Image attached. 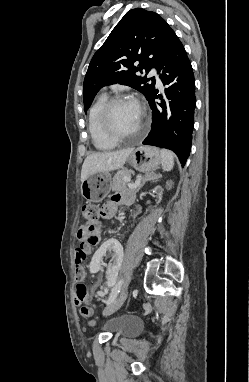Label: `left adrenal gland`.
Masks as SVG:
<instances>
[{
  "instance_id": "1",
  "label": "left adrenal gland",
  "mask_w": 249,
  "mask_h": 382,
  "mask_svg": "<svg viewBox=\"0 0 249 382\" xmlns=\"http://www.w3.org/2000/svg\"><path fill=\"white\" fill-rule=\"evenodd\" d=\"M161 174H153V173H149V174H146L142 180H141V183L140 185L138 186L137 188V192L144 186V184L147 182V181H156L157 179L161 178Z\"/></svg>"
}]
</instances>
